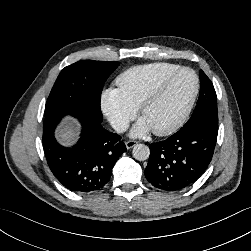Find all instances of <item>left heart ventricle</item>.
<instances>
[{"instance_id": "1", "label": "left heart ventricle", "mask_w": 251, "mask_h": 251, "mask_svg": "<svg viewBox=\"0 0 251 251\" xmlns=\"http://www.w3.org/2000/svg\"><path fill=\"white\" fill-rule=\"evenodd\" d=\"M195 86L194 76L188 72L177 75L159 98L143 113L142 118L152 130L172 125L186 107Z\"/></svg>"}]
</instances>
